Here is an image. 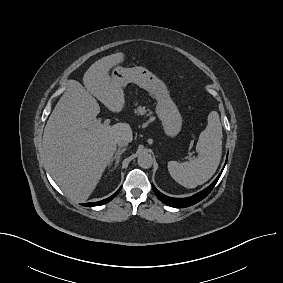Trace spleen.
Segmentation results:
<instances>
[{
    "label": "spleen",
    "instance_id": "3e777b00",
    "mask_svg": "<svg viewBox=\"0 0 283 283\" xmlns=\"http://www.w3.org/2000/svg\"><path fill=\"white\" fill-rule=\"evenodd\" d=\"M222 126L219 114L212 111L208 115V124L200 133L194 160L179 163L168 162L171 177L186 188H195L207 182L216 172L222 154Z\"/></svg>",
    "mask_w": 283,
    "mask_h": 283
}]
</instances>
